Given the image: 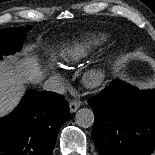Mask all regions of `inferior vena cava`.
Segmentation results:
<instances>
[{
  "instance_id": "1",
  "label": "inferior vena cava",
  "mask_w": 155,
  "mask_h": 155,
  "mask_svg": "<svg viewBox=\"0 0 155 155\" xmlns=\"http://www.w3.org/2000/svg\"><path fill=\"white\" fill-rule=\"evenodd\" d=\"M43 89L47 91H53L59 94H64L65 92V86L64 84L55 79H48L43 84Z\"/></svg>"
}]
</instances>
